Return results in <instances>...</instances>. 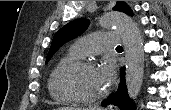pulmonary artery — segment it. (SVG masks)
<instances>
[{
  "label": "pulmonary artery",
  "mask_w": 171,
  "mask_h": 110,
  "mask_svg": "<svg viewBox=\"0 0 171 110\" xmlns=\"http://www.w3.org/2000/svg\"><path fill=\"white\" fill-rule=\"evenodd\" d=\"M118 42V33H94L76 40L71 49L80 56H85L89 54H98L109 47L116 46Z\"/></svg>",
  "instance_id": "1"
}]
</instances>
